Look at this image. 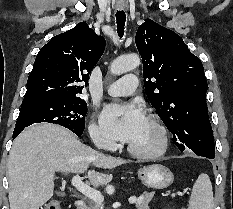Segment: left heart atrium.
Here are the masks:
<instances>
[{
  "mask_svg": "<svg viewBox=\"0 0 233 209\" xmlns=\"http://www.w3.org/2000/svg\"><path fill=\"white\" fill-rule=\"evenodd\" d=\"M100 121L109 135L130 143L140 132L146 117L135 103L109 104L102 111Z\"/></svg>",
  "mask_w": 233,
  "mask_h": 209,
  "instance_id": "obj_1",
  "label": "left heart atrium"
}]
</instances>
